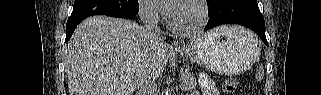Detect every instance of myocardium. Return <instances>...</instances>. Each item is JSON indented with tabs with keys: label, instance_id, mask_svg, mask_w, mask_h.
<instances>
[{
	"label": "myocardium",
	"instance_id": "obj_1",
	"mask_svg": "<svg viewBox=\"0 0 321 95\" xmlns=\"http://www.w3.org/2000/svg\"><path fill=\"white\" fill-rule=\"evenodd\" d=\"M184 5H193L197 8L198 14H199V19L198 22L189 28H179L177 27L173 20L169 18L168 20V28L179 35H193L202 30V28L207 24L208 19H209V10L207 7V4L203 0H186L181 3L180 6Z\"/></svg>",
	"mask_w": 321,
	"mask_h": 95
}]
</instances>
